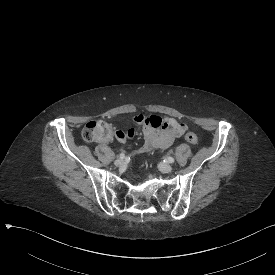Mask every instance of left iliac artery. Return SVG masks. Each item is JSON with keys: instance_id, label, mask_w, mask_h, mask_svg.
I'll return each instance as SVG.
<instances>
[{"instance_id": "44dca946", "label": "left iliac artery", "mask_w": 275, "mask_h": 275, "mask_svg": "<svg viewBox=\"0 0 275 275\" xmlns=\"http://www.w3.org/2000/svg\"><path fill=\"white\" fill-rule=\"evenodd\" d=\"M167 162L173 163L174 162V158H172V157L167 158Z\"/></svg>"}]
</instances>
